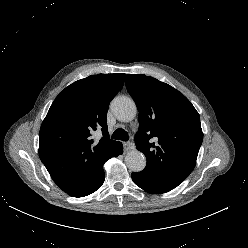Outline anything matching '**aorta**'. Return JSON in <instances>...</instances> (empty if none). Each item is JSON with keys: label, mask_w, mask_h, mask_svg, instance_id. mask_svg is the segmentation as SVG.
Listing matches in <instances>:
<instances>
[{"label": "aorta", "mask_w": 248, "mask_h": 248, "mask_svg": "<svg viewBox=\"0 0 248 248\" xmlns=\"http://www.w3.org/2000/svg\"><path fill=\"white\" fill-rule=\"evenodd\" d=\"M112 111L116 118L122 122L132 121L137 114V107L133 99L121 96L113 100ZM127 167L133 172H140L146 166V158L139 150H131L125 156Z\"/></svg>", "instance_id": "aorta-1"}]
</instances>
